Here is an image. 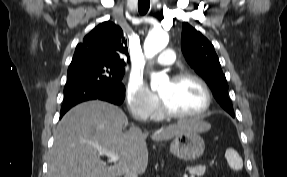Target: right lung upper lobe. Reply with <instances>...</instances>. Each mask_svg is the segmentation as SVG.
<instances>
[{"label":"right lung upper lobe","instance_id":"1","mask_svg":"<svg viewBox=\"0 0 287 177\" xmlns=\"http://www.w3.org/2000/svg\"><path fill=\"white\" fill-rule=\"evenodd\" d=\"M129 61L127 40L122 29L111 21L96 26L76 47L71 64L77 62H107L124 69Z\"/></svg>","mask_w":287,"mask_h":177}]
</instances>
